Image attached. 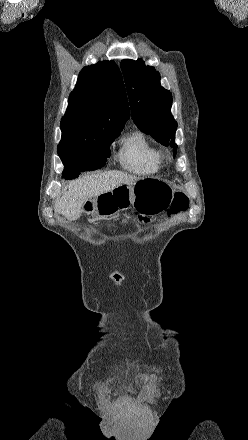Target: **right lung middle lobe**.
Wrapping results in <instances>:
<instances>
[{"mask_svg": "<svg viewBox=\"0 0 248 440\" xmlns=\"http://www.w3.org/2000/svg\"><path fill=\"white\" fill-rule=\"evenodd\" d=\"M120 132L96 133L71 146L58 148V155L64 164L63 177L73 179L78 177L80 172L103 167L110 156L109 145Z\"/></svg>", "mask_w": 248, "mask_h": 440, "instance_id": "1", "label": "right lung middle lobe"}]
</instances>
